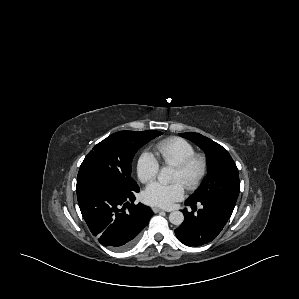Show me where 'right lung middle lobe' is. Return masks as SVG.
<instances>
[{"instance_id":"obj_1","label":"right lung middle lobe","mask_w":299,"mask_h":299,"mask_svg":"<svg viewBox=\"0 0 299 299\" xmlns=\"http://www.w3.org/2000/svg\"><path fill=\"white\" fill-rule=\"evenodd\" d=\"M161 134L159 131H120L110 135L85 157L77 180L98 176L124 190H138L137 183L131 177L133 156L141 146Z\"/></svg>"}]
</instances>
